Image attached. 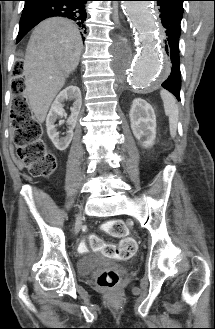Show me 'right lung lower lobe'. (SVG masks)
<instances>
[{
	"mask_svg": "<svg viewBox=\"0 0 215 329\" xmlns=\"http://www.w3.org/2000/svg\"><path fill=\"white\" fill-rule=\"evenodd\" d=\"M24 1L25 6L20 19L17 43L39 22L54 16H63L72 19L80 27L81 33H86L85 21L87 13L85 4L89 0Z\"/></svg>",
	"mask_w": 215,
	"mask_h": 329,
	"instance_id": "right-lung-lower-lobe-1",
	"label": "right lung lower lobe"
}]
</instances>
